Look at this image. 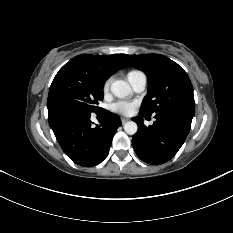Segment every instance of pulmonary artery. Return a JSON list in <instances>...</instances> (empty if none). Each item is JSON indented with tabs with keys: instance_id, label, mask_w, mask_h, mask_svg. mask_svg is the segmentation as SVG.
<instances>
[{
	"instance_id": "pulmonary-artery-1",
	"label": "pulmonary artery",
	"mask_w": 233,
	"mask_h": 233,
	"mask_svg": "<svg viewBox=\"0 0 233 233\" xmlns=\"http://www.w3.org/2000/svg\"><path fill=\"white\" fill-rule=\"evenodd\" d=\"M130 84L135 92H142L146 87L147 78L144 74H141L134 78Z\"/></svg>"
}]
</instances>
